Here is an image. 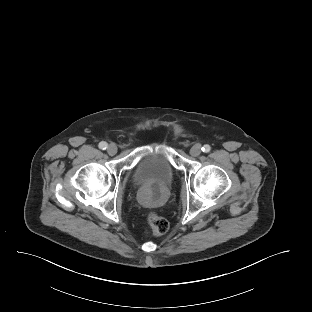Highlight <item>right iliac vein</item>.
Masks as SVG:
<instances>
[{
	"label": "right iliac vein",
	"instance_id": "63e3f726",
	"mask_svg": "<svg viewBox=\"0 0 312 312\" xmlns=\"http://www.w3.org/2000/svg\"><path fill=\"white\" fill-rule=\"evenodd\" d=\"M107 152L108 154L110 155H115L117 153V146L115 144H110L108 147H107Z\"/></svg>",
	"mask_w": 312,
	"mask_h": 312
}]
</instances>
